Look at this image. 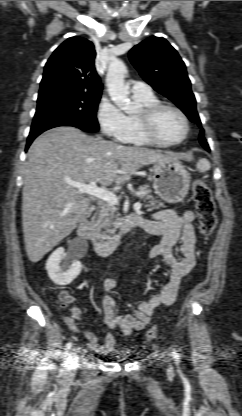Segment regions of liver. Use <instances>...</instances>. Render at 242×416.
<instances>
[{"mask_svg":"<svg viewBox=\"0 0 242 416\" xmlns=\"http://www.w3.org/2000/svg\"><path fill=\"white\" fill-rule=\"evenodd\" d=\"M177 160L171 155L118 145L89 136L71 126L40 135L28 150L22 193L24 243L31 262L40 261L67 237L85 214L89 199L69 182L103 188L120 185L131 173L156 162Z\"/></svg>","mask_w":242,"mask_h":416,"instance_id":"1","label":"liver"}]
</instances>
